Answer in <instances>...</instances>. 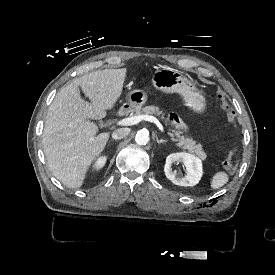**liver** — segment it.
Returning a JSON list of instances; mask_svg holds the SVG:
<instances>
[{"label": "liver", "mask_w": 275, "mask_h": 275, "mask_svg": "<svg viewBox=\"0 0 275 275\" xmlns=\"http://www.w3.org/2000/svg\"><path fill=\"white\" fill-rule=\"evenodd\" d=\"M126 69H104L75 78L49 106L43 150L53 175L69 188L82 186L92 162L104 150L109 133H98L89 119L106 117L120 97ZM79 86L91 103L80 96Z\"/></svg>", "instance_id": "1"}]
</instances>
